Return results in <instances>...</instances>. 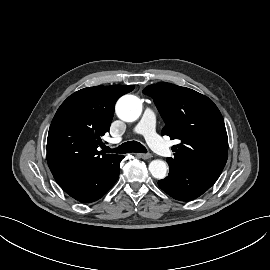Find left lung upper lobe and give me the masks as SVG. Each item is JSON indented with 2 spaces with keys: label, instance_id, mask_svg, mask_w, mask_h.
<instances>
[{
  "label": "left lung upper lobe",
  "instance_id": "5c2ea615",
  "mask_svg": "<svg viewBox=\"0 0 270 270\" xmlns=\"http://www.w3.org/2000/svg\"><path fill=\"white\" fill-rule=\"evenodd\" d=\"M164 122L162 135L179 139L168 164L199 169L220 176L228 157V137L223 117L208 97L166 82L147 86Z\"/></svg>",
  "mask_w": 270,
  "mask_h": 270
}]
</instances>
